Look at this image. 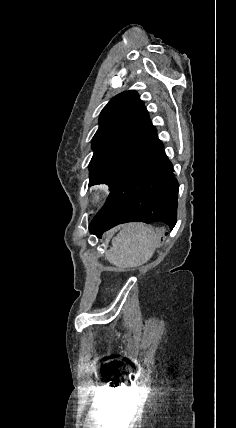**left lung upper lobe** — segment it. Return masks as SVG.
I'll use <instances>...</instances> for the list:
<instances>
[{
	"mask_svg": "<svg viewBox=\"0 0 236 428\" xmlns=\"http://www.w3.org/2000/svg\"><path fill=\"white\" fill-rule=\"evenodd\" d=\"M153 129L136 91L112 98L101 112L99 128L92 139L89 186L106 183L112 190Z\"/></svg>",
	"mask_w": 236,
	"mask_h": 428,
	"instance_id": "5c2ea615",
	"label": "left lung upper lobe"
}]
</instances>
